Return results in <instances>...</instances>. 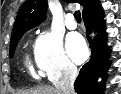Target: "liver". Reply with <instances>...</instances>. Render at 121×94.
I'll return each instance as SVG.
<instances>
[{"label":"liver","mask_w":121,"mask_h":94,"mask_svg":"<svg viewBox=\"0 0 121 94\" xmlns=\"http://www.w3.org/2000/svg\"><path fill=\"white\" fill-rule=\"evenodd\" d=\"M18 94H59L53 86H38L34 89L24 90Z\"/></svg>","instance_id":"1"}]
</instances>
